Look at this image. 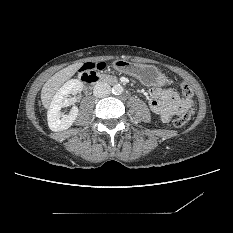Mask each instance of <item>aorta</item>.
<instances>
[{
  "instance_id": "1",
  "label": "aorta",
  "mask_w": 233,
  "mask_h": 233,
  "mask_svg": "<svg viewBox=\"0 0 233 233\" xmlns=\"http://www.w3.org/2000/svg\"><path fill=\"white\" fill-rule=\"evenodd\" d=\"M112 92L115 95H120L123 93V87L120 84H117L112 88Z\"/></svg>"
}]
</instances>
